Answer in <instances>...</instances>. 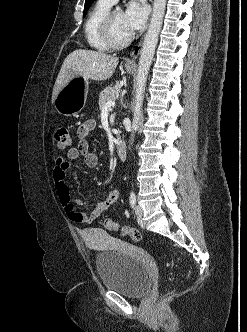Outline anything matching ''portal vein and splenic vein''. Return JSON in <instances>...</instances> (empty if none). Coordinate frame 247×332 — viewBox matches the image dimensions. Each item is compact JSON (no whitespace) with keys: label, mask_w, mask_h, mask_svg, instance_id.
<instances>
[{"label":"portal vein and splenic vein","mask_w":247,"mask_h":332,"mask_svg":"<svg viewBox=\"0 0 247 332\" xmlns=\"http://www.w3.org/2000/svg\"><path fill=\"white\" fill-rule=\"evenodd\" d=\"M114 106H115V102L114 101H108L102 109L103 110H108V109H110V108H112Z\"/></svg>","instance_id":"1"}]
</instances>
